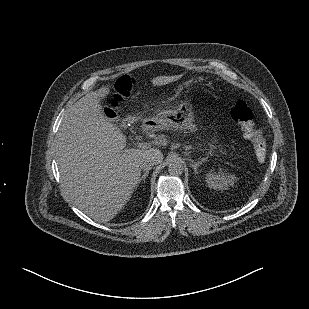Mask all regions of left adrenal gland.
I'll return each mask as SVG.
<instances>
[{
    "label": "left adrenal gland",
    "mask_w": 309,
    "mask_h": 309,
    "mask_svg": "<svg viewBox=\"0 0 309 309\" xmlns=\"http://www.w3.org/2000/svg\"><path fill=\"white\" fill-rule=\"evenodd\" d=\"M202 162H203V159L201 161L197 162V163H191L190 164V166L194 169L195 174L198 173L197 170H198L199 166L202 164Z\"/></svg>",
    "instance_id": "obj_1"
}]
</instances>
